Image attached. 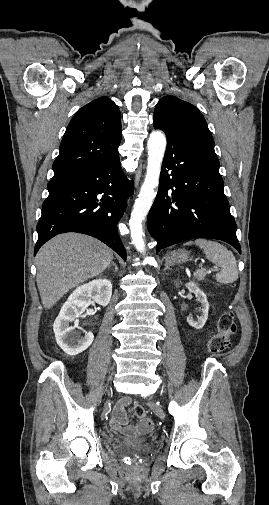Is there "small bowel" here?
<instances>
[{
	"label": "small bowel",
	"instance_id": "small-bowel-1",
	"mask_svg": "<svg viewBox=\"0 0 269 505\" xmlns=\"http://www.w3.org/2000/svg\"><path fill=\"white\" fill-rule=\"evenodd\" d=\"M130 403L129 397H123L118 401L113 409L111 427L127 435L145 434L152 430L154 423L149 418H142L136 426L128 425L126 408Z\"/></svg>",
	"mask_w": 269,
	"mask_h": 505
}]
</instances>
